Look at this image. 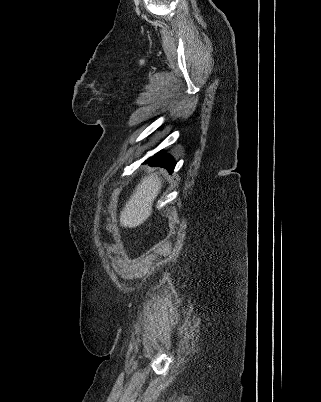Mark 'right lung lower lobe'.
Returning a JSON list of instances; mask_svg holds the SVG:
<instances>
[{"label":"right lung lower lobe","mask_w":321,"mask_h":402,"mask_svg":"<svg viewBox=\"0 0 321 402\" xmlns=\"http://www.w3.org/2000/svg\"><path fill=\"white\" fill-rule=\"evenodd\" d=\"M146 162L153 166H161L166 168L170 173L173 172L176 162L169 155L164 154L162 151L149 158Z\"/></svg>","instance_id":"obj_1"}]
</instances>
